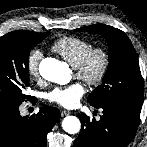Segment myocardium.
Listing matches in <instances>:
<instances>
[{"instance_id":"myocardium-1","label":"myocardium","mask_w":147,"mask_h":147,"mask_svg":"<svg viewBox=\"0 0 147 147\" xmlns=\"http://www.w3.org/2000/svg\"><path fill=\"white\" fill-rule=\"evenodd\" d=\"M98 63V68L92 72L94 63ZM110 68V54L104 46L91 47L79 63L74 67L75 76L85 81L91 86L101 84L106 78Z\"/></svg>"}]
</instances>
